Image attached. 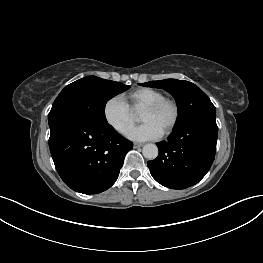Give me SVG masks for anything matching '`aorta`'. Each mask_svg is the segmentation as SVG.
<instances>
[{"instance_id":"1","label":"aorta","mask_w":263,"mask_h":263,"mask_svg":"<svg viewBox=\"0 0 263 263\" xmlns=\"http://www.w3.org/2000/svg\"><path fill=\"white\" fill-rule=\"evenodd\" d=\"M142 153L145 158L153 160L158 156V148L155 144L148 143L143 146Z\"/></svg>"}]
</instances>
